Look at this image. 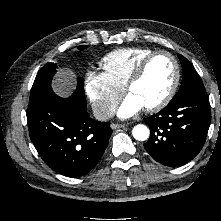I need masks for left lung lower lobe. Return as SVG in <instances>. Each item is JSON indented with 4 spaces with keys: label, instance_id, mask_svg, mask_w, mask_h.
I'll use <instances>...</instances> for the list:
<instances>
[{
    "label": "left lung lower lobe",
    "instance_id": "0a47b994",
    "mask_svg": "<svg viewBox=\"0 0 221 221\" xmlns=\"http://www.w3.org/2000/svg\"><path fill=\"white\" fill-rule=\"evenodd\" d=\"M151 134L144 144L153 159L170 167L192 160L202 149L211 121L207 93L186 95L146 120Z\"/></svg>",
    "mask_w": 221,
    "mask_h": 221
}]
</instances>
